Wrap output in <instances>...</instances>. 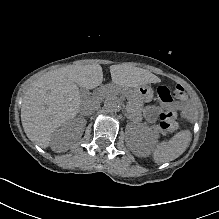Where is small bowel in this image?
<instances>
[{
    "label": "small bowel",
    "mask_w": 219,
    "mask_h": 219,
    "mask_svg": "<svg viewBox=\"0 0 219 219\" xmlns=\"http://www.w3.org/2000/svg\"><path fill=\"white\" fill-rule=\"evenodd\" d=\"M159 105L147 106L144 110L145 118L154 122L161 109L179 110L186 118H192L195 115V107L187 98L179 101H174L169 89L165 86H160L157 89Z\"/></svg>",
    "instance_id": "c3829d8e"
}]
</instances>
